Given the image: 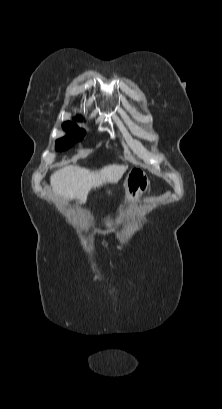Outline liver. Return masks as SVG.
<instances>
[{"mask_svg":"<svg viewBox=\"0 0 222 409\" xmlns=\"http://www.w3.org/2000/svg\"><path fill=\"white\" fill-rule=\"evenodd\" d=\"M127 166L110 164L100 170H89L69 165L55 171L50 182L53 192L67 200L75 198L85 203L92 189L111 183L116 184L126 171Z\"/></svg>","mask_w":222,"mask_h":409,"instance_id":"obj_1","label":"liver"}]
</instances>
